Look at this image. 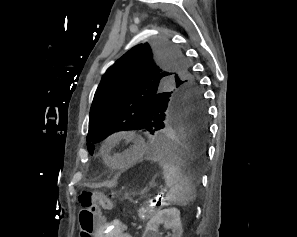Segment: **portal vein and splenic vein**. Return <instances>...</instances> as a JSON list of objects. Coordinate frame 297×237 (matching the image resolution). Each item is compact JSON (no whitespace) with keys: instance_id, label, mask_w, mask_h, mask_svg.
Listing matches in <instances>:
<instances>
[{"instance_id":"1","label":"portal vein and splenic vein","mask_w":297,"mask_h":237,"mask_svg":"<svg viewBox=\"0 0 297 237\" xmlns=\"http://www.w3.org/2000/svg\"><path fill=\"white\" fill-rule=\"evenodd\" d=\"M151 207H153L154 205L152 204V202H151V205H150Z\"/></svg>"}]
</instances>
